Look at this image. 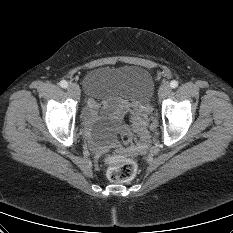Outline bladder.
I'll list each match as a JSON object with an SVG mask.
<instances>
[{
    "instance_id": "1",
    "label": "bladder",
    "mask_w": 233,
    "mask_h": 233,
    "mask_svg": "<svg viewBox=\"0 0 233 233\" xmlns=\"http://www.w3.org/2000/svg\"><path fill=\"white\" fill-rule=\"evenodd\" d=\"M83 88L87 97L99 102L141 106L152 97L155 82L150 71L141 66L98 67L86 73Z\"/></svg>"
}]
</instances>
